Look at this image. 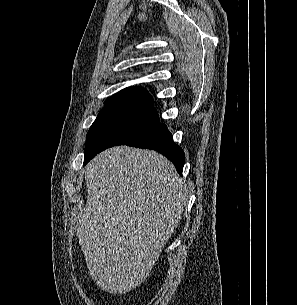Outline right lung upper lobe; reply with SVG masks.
Segmentation results:
<instances>
[{
	"instance_id": "right-lung-upper-lobe-1",
	"label": "right lung upper lobe",
	"mask_w": 297,
	"mask_h": 305,
	"mask_svg": "<svg viewBox=\"0 0 297 305\" xmlns=\"http://www.w3.org/2000/svg\"><path fill=\"white\" fill-rule=\"evenodd\" d=\"M119 99H135V100H146L153 102L152 97L147 92V90L143 89L142 87L134 86L123 89L117 94L112 95L105 101V103Z\"/></svg>"
}]
</instances>
